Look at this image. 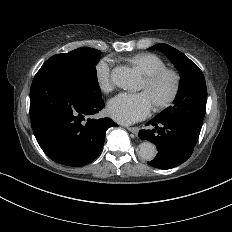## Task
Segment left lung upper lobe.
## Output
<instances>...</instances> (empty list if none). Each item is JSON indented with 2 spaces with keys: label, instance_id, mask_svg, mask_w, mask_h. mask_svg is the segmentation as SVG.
<instances>
[{
  "label": "left lung upper lobe",
  "instance_id": "left-lung-upper-lobe-1",
  "mask_svg": "<svg viewBox=\"0 0 232 232\" xmlns=\"http://www.w3.org/2000/svg\"><path fill=\"white\" fill-rule=\"evenodd\" d=\"M150 49L164 53L180 74L179 89L173 105L156 118L179 121L200 133L207 101V88L202 71L188 57L170 45L161 43Z\"/></svg>",
  "mask_w": 232,
  "mask_h": 232
}]
</instances>
